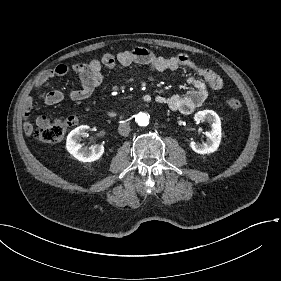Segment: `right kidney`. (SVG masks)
<instances>
[{
  "label": "right kidney",
  "instance_id": "obj_1",
  "mask_svg": "<svg viewBox=\"0 0 281 281\" xmlns=\"http://www.w3.org/2000/svg\"><path fill=\"white\" fill-rule=\"evenodd\" d=\"M90 127L87 125H81L72 130L69 135L68 152L73 155L77 160L82 162H92L99 159L103 152L104 147L100 144H95L89 148L83 147L80 143L81 136L85 134L86 130Z\"/></svg>",
  "mask_w": 281,
  "mask_h": 281
}]
</instances>
